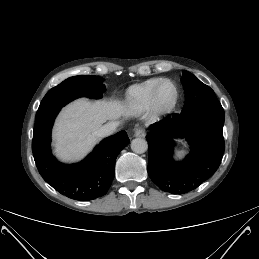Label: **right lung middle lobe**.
Segmentation results:
<instances>
[{"mask_svg": "<svg viewBox=\"0 0 259 259\" xmlns=\"http://www.w3.org/2000/svg\"><path fill=\"white\" fill-rule=\"evenodd\" d=\"M102 82L101 77L93 75L74 76L64 80L47 92L38 108L36 117L61 108L79 97L101 98L105 90Z\"/></svg>", "mask_w": 259, "mask_h": 259, "instance_id": "1", "label": "right lung middle lobe"}]
</instances>
